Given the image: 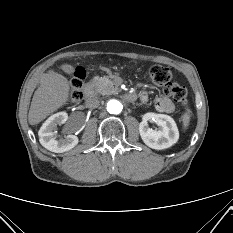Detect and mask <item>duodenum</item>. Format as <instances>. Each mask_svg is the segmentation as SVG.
Returning <instances> with one entry per match:
<instances>
[{
  "instance_id": "obj_1",
  "label": "duodenum",
  "mask_w": 233,
  "mask_h": 233,
  "mask_svg": "<svg viewBox=\"0 0 233 233\" xmlns=\"http://www.w3.org/2000/svg\"><path fill=\"white\" fill-rule=\"evenodd\" d=\"M83 94H84V97L88 100V99H91L94 95V88L92 85H86L84 86L83 88ZM125 98L127 101L129 102H133L137 99V95L133 92H130V93H127L125 95Z\"/></svg>"
}]
</instances>
